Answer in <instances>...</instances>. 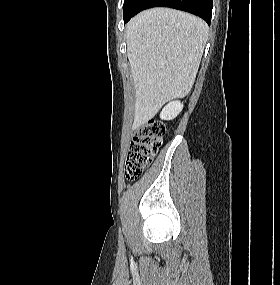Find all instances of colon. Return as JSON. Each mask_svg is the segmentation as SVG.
<instances>
[{
	"mask_svg": "<svg viewBox=\"0 0 280 285\" xmlns=\"http://www.w3.org/2000/svg\"><path fill=\"white\" fill-rule=\"evenodd\" d=\"M164 133L163 124L157 121L146 122L135 130L126 158L127 180L135 181L149 167L162 145Z\"/></svg>",
	"mask_w": 280,
	"mask_h": 285,
	"instance_id": "colon-1",
	"label": "colon"
}]
</instances>
